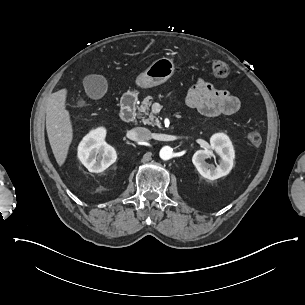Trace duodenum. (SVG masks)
<instances>
[{
	"mask_svg": "<svg viewBox=\"0 0 305 305\" xmlns=\"http://www.w3.org/2000/svg\"><path fill=\"white\" fill-rule=\"evenodd\" d=\"M137 96L134 93L125 94L120 102V116L125 122H130L135 117Z\"/></svg>",
	"mask_w": 305,
	"mask_h": 305,
	"instance_id": "410a0bca",
	"label": "duodenum"
}]
</instances>
